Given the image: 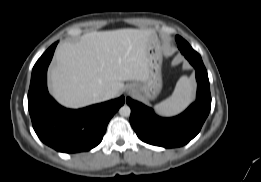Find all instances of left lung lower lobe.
Segmentation results:
<instances>
[{"instance_id":"obj_1","label":"left lung lower lobe","mask_w":261,"mask_h":182,"mask_svg":"<svg viewBox=\"0 0 261 182\" xmlns=\"http://www.w3.org/2000/svg\"><path fill=\"white\" fill-rule=\"evenodd\" d=\"M183 55L195 68L198 84L196 101L186 111L176 117L162 118L144 104L126 99L131 108L130 123L143 142L165 148L183 146L200 132L210 112L209 79L201 56L197 52Z\"/></svg>"}]
</instances>
